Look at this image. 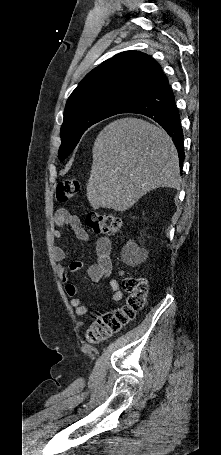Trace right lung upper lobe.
I'll return each mask as SVG.
<instances>
[{"mask_svg": "<svg viewBox=\"0 0 221 455\" xmlns=\"http://www.w3.org/2000/svg\"><path fill=\"white\" fill-rule=\"evenodd\" d=\"M162 75L160 65L139 51H125L94 68L68 98L65 113L92 103L112 102L124 109L146 95Z\"/></svg>", "mask_w": 221, "mask_h": 455, "instance_id": "right-lung-upper-lobe-1", "label": "right lung upper lobe"}]
</instances>
